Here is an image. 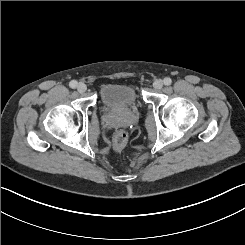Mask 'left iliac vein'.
Segmentation results:
<instances>
[{
    "label": "left iliac vein",
    "instance_id": "4c4485c4",
    "mask_svg": "<svg viewBox=\"0 0 245 245\" xmlns=\"http://www.w3.org/2000/svg\"><path fill=\"white\" fill-rule=\"evenodd\" d=\"M153 86L155 89L159 90L163 87V81L161 79H157L154 81Z\"/></svg>",
    "mask_w": 245,
    "mask_h": 245
}]
</instances>
